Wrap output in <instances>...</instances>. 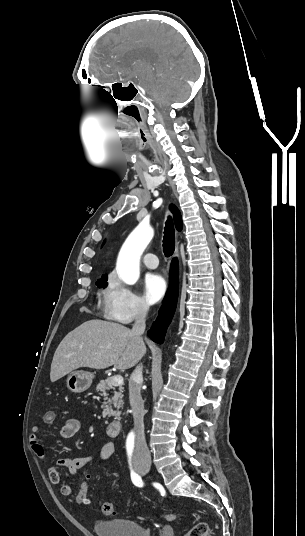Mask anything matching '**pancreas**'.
I'll list each match as a JSON object with an SVG mask.
<instances>
[{"label":"pancreas","mask_w":305,"mask_h":536,"mask_svg":"<svg viewBox=\"0 0 305 536\" xmlns=\"http://www.w3.org/2000/svg\"><path fill=\"white\" fill-rule=\"evenodd\" d=\"M96 390L97 392H102V396H104L103 400H107V402H103L104 418H106V416H108V418H110V416H114L115 420H121L120 408L123 404V400H122L123 392H124L123 386H115V384H112V378H107V380H101ZM106 390H112L111 398H108L110 394H107ZM113 408H117V410H113Z\"/></svg>","instance_id":"1"}]
</instances>
